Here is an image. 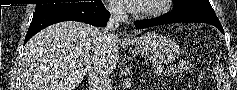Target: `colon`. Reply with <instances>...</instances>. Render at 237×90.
Returning <instances> with one entry per match:
<instances>
[{"mask_svg":"<svg viewBox=\"0 0 237 90\" xmlns=\"http://www.w3.org/2000/svg\"><path fill=\"white\" fill-rule=\"evenodd\" d=\"M214 77L218 90H231L228 75L220 62H217L214 69Z\"/></svg>","mask_w":237,"mask_h":90,"instance_id":"5ec220e1","label":"colon"}]
</instances>
